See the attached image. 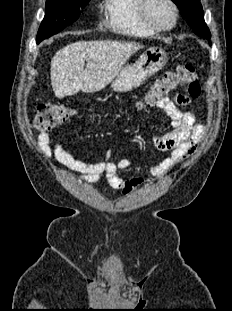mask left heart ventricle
<instances>
[{"instance_id": "obj_1", "label": "left heart ventricle", "mask_w": 232, "mask_h": 311, "mask_svg": "<svg viewBox=\"0 0 232 311\" xmlns=\"http://www.w3.org/2000/svg\"><path fill=\"white\" fill-rule=\"evenodd\" d=\"M147 14L159 26H168L173 20V10L166 0H150Z\"/></svg>"}]
</instances>
